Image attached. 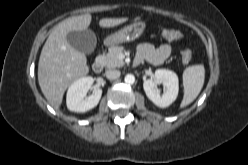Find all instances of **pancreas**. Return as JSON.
<instances>
[{
  "instance_id": "obj_1",
  "label": "pancreas",
  "mask_w": 248,
  "mask_h": 165,
  "mask_svg": "<svg viewBox=\"0 0 248 165\" xmlns=\"http://www.w3.org/2000/svg\"><path fill=\"white\" fill-rule=\"evenodd\" d=\"M123 52L122 46H112L109 48L107 54L102 56L103 63L107 68L121 67L125 63L119 58V55Z\"/></svg>"
}]
</instances>
